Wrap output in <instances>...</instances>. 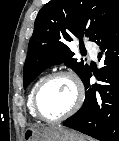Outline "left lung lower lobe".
Returning a JSON list of instances; mask_svg holds the SVG:
<instances>
[{"mask_svg":"<svg viewBox=\"0 0 119 141\" xmlns=\"http://www.w3.org/2000/svg\"><path fill=\"white\" fill-rule=\"evenodd\" d=\"M93 42L100 46L98 57L105 65L98 72L101 84H90V69L82 80L86 90L83 106L63 125L101 141H119V8Z\"/></svg>","mask_w":119,"mask_h":141,"instance_id":"obj_1","label":"left lung lower lobe"}]
</instances>
